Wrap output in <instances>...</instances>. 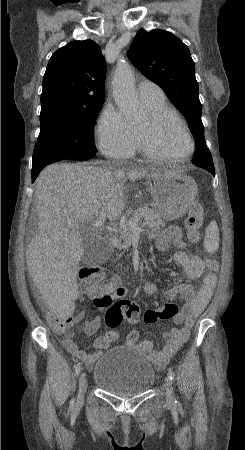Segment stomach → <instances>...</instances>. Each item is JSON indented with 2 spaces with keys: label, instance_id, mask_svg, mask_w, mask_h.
I'll return each mask as SVG.
<instances>
[{
  "label": "stomach",
  "instance_id": "1",
  "mask_svg": "<svg viewBox=\"0 0 245 450\" xmlns=\"http://www.w3.org/2000/svg\"><path fill=\"white\" fill-rule=\"evenodd\" d=\"M147 186L158 213L165 220L184 216L198 192L193 178L180 171L167 169L150 176Z\"/></svg>",
  "mask_w": 245,
  "mask_h": 450
}]
</instances>
